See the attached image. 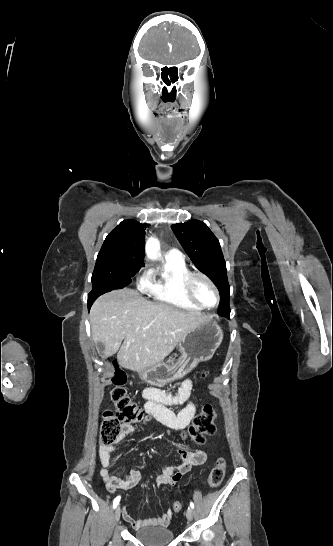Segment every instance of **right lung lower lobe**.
<instances>
[{"label": "right lung lower lobe", "mask_w": 333, "mask_h": 546, "mask_svg": "<svg viewBox=\"0 0 333 546\" xmlns=\"http://www.w3.org/2000/svg\"><path fill=\"white\" fill-rule=\"evenodd\" d=\"M93 302H94L93 300H91V299L88 298V308H89V309H90V307H91V305H92Z\"/></svg>", "instance_id": "1"}]
</instances>
